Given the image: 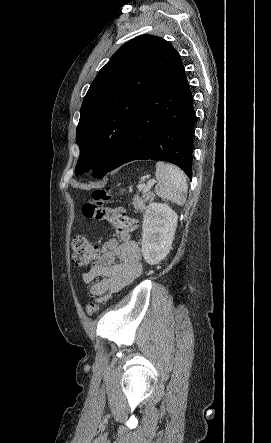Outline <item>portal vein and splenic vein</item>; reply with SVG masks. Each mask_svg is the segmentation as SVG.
<instances>
[{
  "label": "portal vein and splenic vein",
  "mask_w": 271,
  "mask_h": 443,
  "mask_svg": "<svg viewBox=\"0 0 271 443\" xmlns=\"http://www.w3.org/2000/svg\"><path fill=\"white\" fill-rule=\"evenodd\" d=\"M153 184H156V180H149V182H147L145 184V186L141 189V192L143 194H146L147 192H150L152 189Z\"/></svg>",
  "instance_id": "1"
}]
</instances>
